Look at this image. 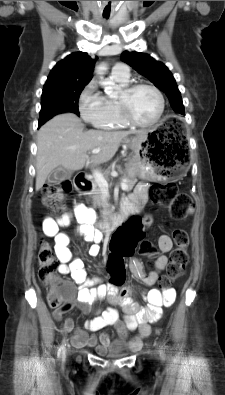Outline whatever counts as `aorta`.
Segmentation results:
<instances>
[{
  "label": "aorta",
  "mask_w": 225,
  "mask_h": 395,
  "mask_svg": "<svg viewBox=\"0 0 225 395\" xmlns=\"http://www.w3.org/2000/svg\"><path fill=\"white\" fill-rule=\"evenodd\" d=\"M106 69H107V67L103 64V65L98 66V67L96 68V71H97L98 74L101 75V74L103 73V71H105ZM100 84H101L102 86H104L105 92H106V94H107L109 97L114 98V97L116 96V92H114V87H113L112 84L107 83V82H105V81H101Z\"/></svg>",
  "instance_id": "obj_1"
}]
</instances>
